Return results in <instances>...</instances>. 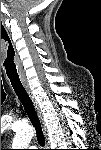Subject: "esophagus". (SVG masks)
<instances>
[{"instance_id": "1", "label": "esophagus", "mask_w": 101, "mask_h": 150, "mask_svg": "<svg viewBox=\"0 0 101 150\" xmlns=\"http://www.w3.org/2000/svg\"><path fill=\"white\" fill-rule=\"evenodd\" d=\"M21 81H22V84H23L25 90L27 91V93H28V95H29V97H30V99H31V101H32V103H33V105H34V107H35V109H36L38 115H39V118H40V120H41V122H42L41 113H40V110H39L37 101H36V99H35V97H34L32 91H31V89H30V87H29V84H28L27 80L22 79ZM42 129H43L44 134L46 135V128H45L43 122H42Z\"/></svg>"}]
</instances>
